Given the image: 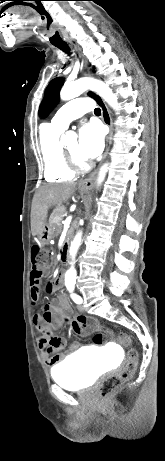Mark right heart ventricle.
Wrapping results in <instances>:
<instances>
[{
    "label": "right heart ventricle",
    "instance_id": "1",
    "mask_svg": "<svg viewBox=\"0 0 165 461\" xmlns=\"http://www.w3.org/2000/svg\"><path fill=\"white\" fill-rule=\"evenodd\" d=\"M63 129L43 124L39 131V149L43 160L44 178L48 182L72 180L74 172L67 166L59 141Z\"/></svg>",
    "mask_w": 165,
    "mask_h": 461
}]
</instances>
